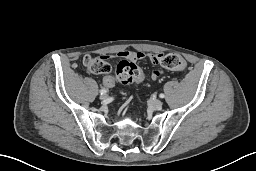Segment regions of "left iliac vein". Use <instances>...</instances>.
<instances>
[{
  "label": "left iliac vein",
  "instance_id": "left-iliac-vein-1",
  "mask_svg": "<svg viewBox=\"0 0 256 171\" xmlns=\"http://www.w3.org/2000/svg\"><path fill=\"white\" fill-rule=\"evenodd\" d=\"M150 105L155 110H160L162 108V101L158 99H153L150 101Z\"/></svg>",
  "mask_w": 256,
  "mask_h": 171
}]
</instances>
